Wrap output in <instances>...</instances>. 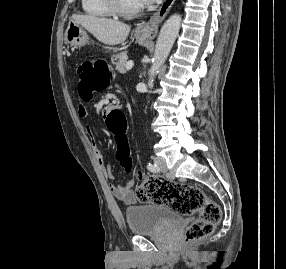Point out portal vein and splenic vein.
<instances>
[{"label": "portal vein and splenic vein", "instance_id": "portal-vein-and-splenic-vein-1", "mask_svg": "<svg viewBox=\"0 0 286 269\" xmlns=\"http://www.w3.org/2000/svg\"><path fill=\"white\" fill-rule=\"evenodd\" d=\"M133 67V61H128L126 64V69L130 70Z\"/></svg>", "mask_w": 286, "mask_h": 269}]
</instances>
